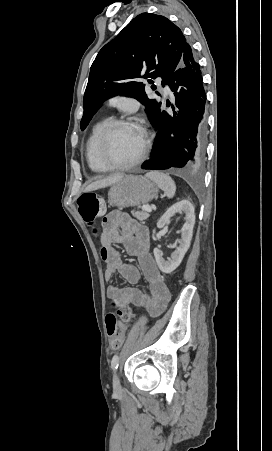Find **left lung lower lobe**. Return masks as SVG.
<instances>
[{"label": "left lung lower lobe", "mask_w": 272, "mask_h": 451, "mask_svg": "<svg viewBox=\"0 0 272 451\" xmlns=\"http://www.w3.org/2000/svg\"><path fill=\"white\" fill-rule=\"evenodd\" d=\"M174 92V117L161 111L156 125L160 127L151 158L143 169L164 170L172 167L192 169L203 164L206 138V93L200 65L187 44L180 64L168 84Z\"/></svg>", "instance_id": "obj_1"}]
</instances>
